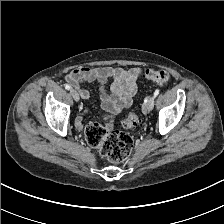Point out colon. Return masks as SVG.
Instances as JSON below:
<instances>
[{
  "label": "colon",
  "mask_w": 224,
  "mask_h": 224,
  "mask_svg": "<svg viewBox=\"0 0 224 224\" xmlns=\"http://www.w3.org/2000/svg\"><path fill=\"white\" fill-rule=\"evenodd\" d=\"M143 77L155 85H164L170 80V75L165 70L146 69ZM139 122V115L132 112L122 122V126L125 129H133ZM85 138L89 145L99 149L103 158L111 162L126 160L133 149V139L130 135L119 131H108L99 122H91L85 127Z\"/></svg>",
  "instance_id": "1"
}]
</instances>
